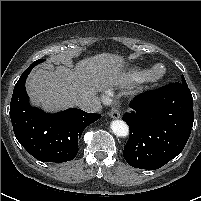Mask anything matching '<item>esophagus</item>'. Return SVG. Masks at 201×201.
<instances>
[{
	"instance_id": "esophagus-1",
	"label": "esophagus",
	"mask_w": 201,
	"mask_h": 201,
	"mask_svg": "<svg viewBox=\"0 0 201 201\" xmlns=\"http://www.w3.org/2000/svg\"><path fill=\"white\" fill-rule=\"evenodd\" d=\"M109 116L113 119H119L121 117L120 112L118 110L117 107H112L110 112H109Z\"/></svg>"
}]
</instances>
